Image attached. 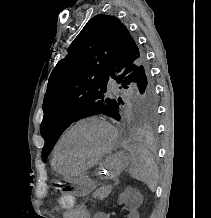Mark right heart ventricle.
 Listing matches in <instances>:
<instances>
[{
  "label": "right heart ventricle",
  "mask_w": 211,
  "mask_h": 218,
  "mask_svg": "<svg viewBox=\"0 0 211 218\" xmlns=\"http://www.w3.org/2000/svg\"><path fill=\"white\" fill-rule=\"evenodd\" d=\"M51 164H52V165H57V164H58V161H57V160H52V161H51Z\"/></svg>",
  "instance_id": "right-heart-ventricle-1"
}]
</instances>
